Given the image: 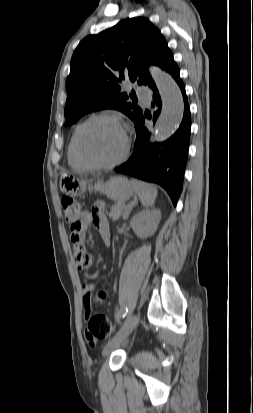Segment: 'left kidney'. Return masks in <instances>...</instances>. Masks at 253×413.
<instances>
[{
    "instance_id": "1",
    "label": "left kidney",
    "mask_w": 253,
    "mask_h": 413,
    "mask_svg": "<svg viewBox=\"0 0 253 413\" xmlns=\"http://www.w3.org/2000/svg\"><path fill=\"white\" fill-rule=\"evenodd\" d=\"M160 220V210H144L131 219L130 226L135 234L142 238H147L155 233Z\"/></svg>"
}]
</instances>
